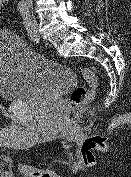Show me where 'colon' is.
I'll return each mask as SVG.
<instances>
[{"mask_svg":"<svg viewBox=\"0 0 131 177\" xmlns=\"http://www.w3.org/2000/svg\"><path fill=\"white\" fill-rule=\"evenodd\" d=\"M11 0H0V10L7 8ZM79 73L86 81L87 86H77L70 94L69 110L75 111L82 106L88 104L94 97L96 88L98 86V79L95 73L87 68L81 67Z\"/></svg>","mask_w":131,"mask_h":177,"instance_id":"obj_1","label":"colon"}]
</instances>
